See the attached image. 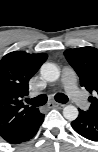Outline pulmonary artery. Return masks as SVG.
I'll return each instance as SVG.
<instances>
[{
    "label": "pulmonary artery",
    "mask_w": 98,
    "mask_h": 152,
    "mask_svg": "<svg viewBox=\"0 0 98 152\" xmlns=\"http://www.w3.org/2000/svg\"><path fill=\"white\" fill-rule=\"evenodd\" d=\"M62 85L67 95L80 107L87 108L88 101L85 95L79 90L75 73L70 68H64L61 76Z\"/></svg>",
    "instance_id": "e3ab8cb5"
}]
</instances>
